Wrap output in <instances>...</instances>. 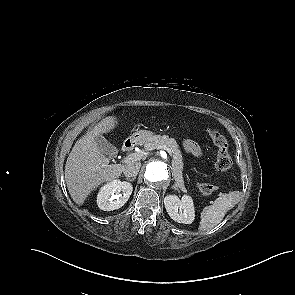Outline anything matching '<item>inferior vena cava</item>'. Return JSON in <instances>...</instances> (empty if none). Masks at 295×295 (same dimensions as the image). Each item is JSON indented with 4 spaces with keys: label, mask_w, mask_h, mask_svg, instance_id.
Listing matches in <instances>:
<instances>
[{
    "label": "inferior vena cava",
    "mask_w": 295,
    "mask_h": 295,
    "mask_svg": "<svg viewBox=\"0 0 295 295\" xmlns=\"http://www.w3.org/2000/svg\"><path fill=\"white\" fill-rule=\"evenodd\" d=\"M141 167V163L135 162V163H128L124 166L123 173L126 177H135L137 176L139 170Z\"/></svg>",
    "instance_id": "602c4592"
}]
</instances>
